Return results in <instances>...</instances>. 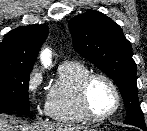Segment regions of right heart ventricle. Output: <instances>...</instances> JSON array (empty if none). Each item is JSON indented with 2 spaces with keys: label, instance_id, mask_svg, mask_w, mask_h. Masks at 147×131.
Masks as SVG:
<instances>
[{
  "label": "right heart ventricle",
  "instance_id": "1",
  "mask_svg": "<svg viewBox=\"0 0 147 131\" xmlns=\"http://www.w3.org/2000/svg\"><path fill=\"white\" fill-rule=\"evenodd\" d=\"M90 72L80 62H65L58 69L57 79L48 93L49 117L59 123L75 124L85 122L79 105V86Z\"/></svg>",
  "mask_w": 147,
  "mask_h": 131
}]
</instances>
